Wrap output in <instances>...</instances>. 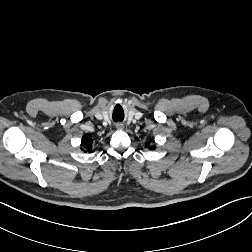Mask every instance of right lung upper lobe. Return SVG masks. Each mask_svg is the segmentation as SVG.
I'll use <instances>...</instances> for the list:
<instances>
[{
	"mask_svg": "<svg viewBox=\"0 0 252 252\" xmlns=\"http://www.w3.org/2000/svg\"><path fill=\"white\" fill-rule=\"evenodd\" d=\"M92 143L93 140L90 135L86 134L83 136L81 146L83 147L84 152H93Z\"/></svg>",
	"mask_w": 252,
	"mask_h": 252,
	"instance_id": "obj_1",
	"label": "right lung upper lobe"
}]
</instances>
